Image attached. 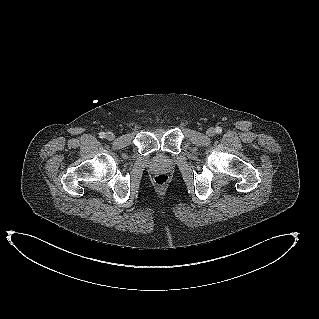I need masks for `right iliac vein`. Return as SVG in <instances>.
<instances>
[{
	"label": "right iliac vein",
	"instance_id": "1",
	"mask_svg": "<svg viewBox=\"0 0 319 319\" xmlns=\"http://www.w3.org/2000/svg\"><path fill=\"white\" fill-rule=\"evenodd\" d=\"M105 137L107 140L111 141L115 138V135L112 132H107Z\"/></svg>",
	"mask_w": 319,
	"mask_h": 319
}]
</instances>
